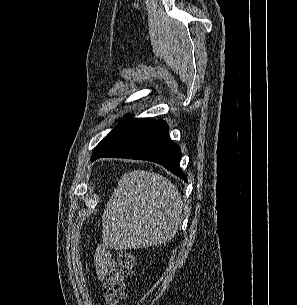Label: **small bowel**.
Here are the masks:
<instances>
[{
  "mask_svg": "<svg viewBox=\"0 0 297 305\" xmlns=\"http://www.w3.org/2000/svg\"><path fill=\"white\" fill-rule=\"evenodd\" d=\"M110 262L111 251L106 246L98 248L94 256V264L96 274L100 280H103L106 277Z\"/></svg>",
  "mask_w": 297,
  "mask_h": 305,
  "instance_id": "1",
  "label": "small bowel"
}]
</instances>
